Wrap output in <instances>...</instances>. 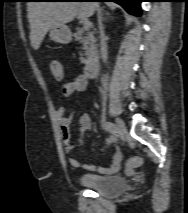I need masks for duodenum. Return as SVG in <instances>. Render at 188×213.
I'll use <instances>...</instances> for the list:
<instances>
[{"mask_svg": "<svg viewBox=\"0 0 188 213\" xmlns=\"http://www.w3.org/2000/svg\"><path fill=\"white\" fill-rule=\"evenodd\" d=\"M100 71V62L97 59H92L87 62L85 72L87 78H96Z\"/></svg>", "mask_w": 188, "mask_h": 213, "instance_id": "obj_1", "label": "duodenum"}]
</instances>
